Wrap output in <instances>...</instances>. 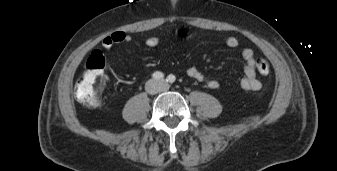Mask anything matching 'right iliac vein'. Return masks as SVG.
<instances>
[{
  "mask_svg": "<svg viewBox=\"0 0 337 171\" xmlns=\"http://www.w3.org/2000/svg\"><path fill=\"white\" fill-rule=\"evenodd\" d=\"M147 88H148V90H149L150 92H153V91L155 90V88H156V83L153 82V81L149 82Z\"/></svg>",
  "mask_w": 337,
  "mask_h": 171,
  "instance_id": "obj_1",
  "label": "right iliac vein"
}]
</instances>
